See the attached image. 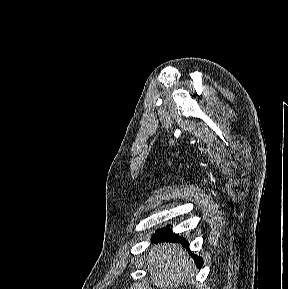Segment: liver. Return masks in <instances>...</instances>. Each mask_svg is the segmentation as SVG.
<instances>
[{
	"label": "liver",
	"mask_w": 288,
	"mask_h": 289,
	"mask_svg": "<svg viewBox=\"0 0 288 289\" xmlns=\"http://www.w3.org/2000/svg\"><path fill=\"white\" fill-rule=\"evenodd\" d=\"M145 264L151 281L159 289H175L195 274L193 259L178 244L154 245Z\"/></svg>",
	"instance_id": "6515ba94"
}]
</instances>
